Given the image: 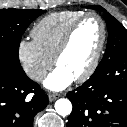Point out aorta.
Here are the masks:
<instances>
[{
	"mask_svg": "<svg viewBox=\"0 0 127 127\" xmlns=\"http://www.w3.org/2000/svg\"><path fill=\"white\" fill-rule=\"evenodd\" d=\"M55 110L61 116H67L72 111V104L68 99H58L55 102Z\"/></svg>",
	"mask_w": 127,
	"mask_h": 127,
	"instance_id": "obj_1",
	"label": "aorta"
}]
</instances>
